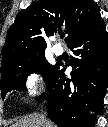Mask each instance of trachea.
Here are the masks:
<instances>
[{"label":"trachea","instance_id":"1","mask_svg":"<svg viewBox=\"0 0 108 127\" xmlns=\"http://www.w3.org/2000/svg\"><path fill=\"white\" fill-rule=\"evenodd\" d=\"M63 37H64V35H63V34H61V35H60V38H63Z\"/></svg>","mask_w":108,"mask_h":127}]
</instances>
